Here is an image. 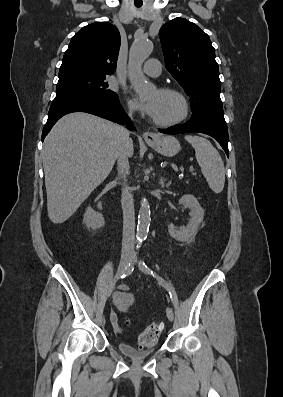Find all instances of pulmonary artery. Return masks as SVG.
I'll use <instances>...</instances> for the list:
<instances>
[{"label": "pulmonary artery", "mask_w": 283, "mask_h": 397, "mask_svg": "<svg viewBox=\"0 0 283 397\" xmlns=\"http://www.w3.org/2000/svg\"><path fill=\"white\" fill-rule=\"evenodd\" d=\"M144 72L151 77H158L161 74V64L157 59H149L144 65Z\"/></svg>", "instance_id": "pulmonary-artery-1"}]
</instances>
